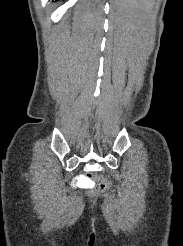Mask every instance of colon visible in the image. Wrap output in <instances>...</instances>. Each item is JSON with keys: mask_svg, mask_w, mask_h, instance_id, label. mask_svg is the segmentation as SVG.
Returning a JSON list of instances; mask_svg holds the SVG:
<instances>
[{"mask_svg": "<svg viewBox=\"0 0 183 246\" xmlns=\"http://www.w3.org/2000/svg\"><path fill=\"white\" fill-rule=\"evenodd\" d=\"M86 173L88 174L87 180H88V187L91 189L90 191L91 195H98L107 188L109 182L108 181L107 182H97L96 177L94 175L95 173L94 170H87Z\"/></svg>", "mask_w": 183, "mask_h": 246, "instance_id": "obj_1", "label": "colon"}]
</instances>
